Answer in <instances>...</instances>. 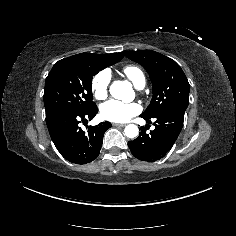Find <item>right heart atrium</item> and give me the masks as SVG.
<instances>
[{"label": "right heart atrium", "mask_w": 236, "mask_h": 236, "mask_svg": "<svg viewBox=\"0 0 236 236\" xmlns=\"http://www.w3.org/2000/svg\"><path fill=\"white\" fill-rule=\"evenodd\" d=\"M110 74L106 71L98 73L92 80L91 89L95 100L102 101L108 96Z\"/></svg>", "instance_id": "1"}]
</instances>
